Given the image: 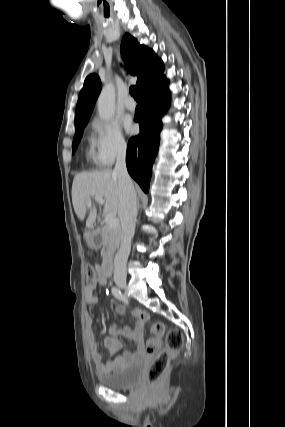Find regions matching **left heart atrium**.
Wrapping results in <instances>:
<instances>
[{"label": "left heart atrium", "mask_w": 285, "mask_h": 427, "mask_svg": "<svg viewBox=\"0 0 285 427\" xmlns=\"http://www.w3.org/2000/svg\"><path fill=\"white\" fill-rule=\"evenodd\" d=\"M124 126H125V129L128 133L134 132L135 127L130 120H126L124 123Z\"/></svg>", "instance_id": "obj_1"}]
</instances>
